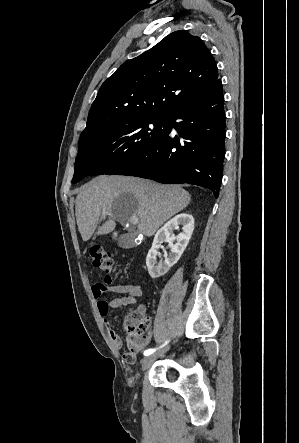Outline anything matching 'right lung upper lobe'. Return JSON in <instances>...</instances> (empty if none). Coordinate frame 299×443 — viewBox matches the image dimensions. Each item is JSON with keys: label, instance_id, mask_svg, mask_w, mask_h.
I'll list each match as a JSON object with an SVG mask.
<instances>
[{"label": "right lung upper lobe", "instance_id": "obj_1", "mask_svg": "<svg viewBox=\"0 0 299 443\" xmlns=\"http://www.w3.org/2000/svg\"><path fill=\"white\" fill-rule=\"evenodd\" d=\"M218 79L203 41L173 32L124 62L100 87L80 138L101 128L144 117H163L199 96Z\"/></svg>", "mask_w": 299, "mask_h": 443}]
</instances>
